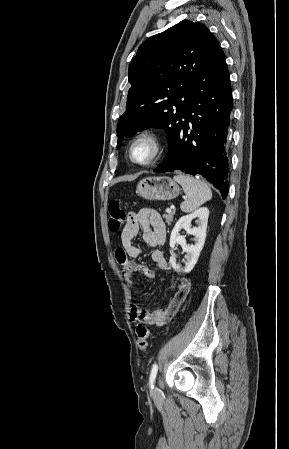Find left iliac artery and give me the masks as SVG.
Wrapping results in <instances>:
<instances>
[{
  "label": "left iliac artery",
  "mask_w": 289,
  "mask_h": 449,
  "mask_svg": "<svg viewBox=\"0 0 289 449\" xmlns=\"http://www.w3.org/2000/svg\"><path fill=\"white\" fill-rule=\"evenodd\" d=\"M157 371H158V366H157V364L155 363V364L152 366L151 373H150V377H149V385H150V388H151V389L154 388V382H155V379H156Z\"/></svg>",
  "instance_id": "left-iliac-artery-1"
}]
</instances>
